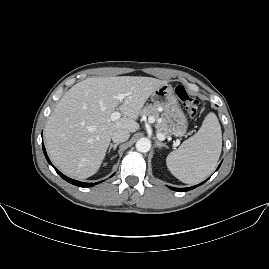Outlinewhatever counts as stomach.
<instances>
[{
  "instance_id": "obj_1",
  "label": "stomach",
  "mask_w": 269,
  "mask_h": 269,
  "mask_svg": "<svg viewBox=\"0 0 269 269\" xmlns=\"http://www.w3.org/2000/svg\"><path fill=\"white\" fill-rule=\"evenodd\" d=\"M151 101L164 109V116L172 133L184 136L187 130V119L177 97L169 84H164L151 94Z\"/></svg>"
}]
</instances>
